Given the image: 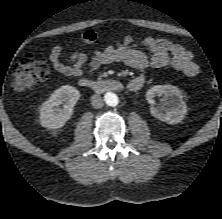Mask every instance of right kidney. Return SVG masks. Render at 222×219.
<instances>
[{
	"label": "right kidney",
	"instance_id": "obj_1",
	"mask_svg": "<svg viewBox=\"0 0 222 219\" xmlns=\"http://www.w3.org/2000/svg\"><path fill=\"white\" fill-rule=\"evenodd\" d=\"M79 98L80 92L73 86L64 85L56 89L40 107V124L48 129L63 127L71 118Z\"/></svg>",
	"mask_w": 222,
	"mask_h": 219
}]
</instances>
